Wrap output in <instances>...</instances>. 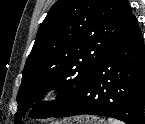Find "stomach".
Masks as SVG:
<instances>
[{
  "mask_svg": "<svg viewBox=\"0 0 145 124\" xmlns=\"http://www.w3.org/2000/svg\"><path fill=\"white\" fill-rule=\"evenodd\" d=\"M57 124H105V122L97 117L81 116Z\"/></svg>",
  "mask_w": 145,
  "mask_h": 124,
  "instance_id": "0dacf381",
  "label": "stomach"
}]
</instances>
